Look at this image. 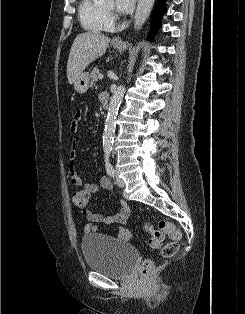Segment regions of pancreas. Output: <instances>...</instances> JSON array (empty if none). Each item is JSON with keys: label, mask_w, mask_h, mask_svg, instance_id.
I'll list each match as a JSON object with an SVG mask.
<instances>
[{"label": "pancreas", "mask_w": 245, "mask_h": 314, "mask_svg": "<svg viewBox=\"0 0 245 314\" xmlns=\"http://www.w3.org/2000/svg\"><path fill=\"white\" fill-rule=\"evenodd\" d=\"M98 76H99V70L97 67H95L92 71H91V85H95V83L98 81Z\"/></svg>", "instance_id": "obj_1"}]
</instances>
